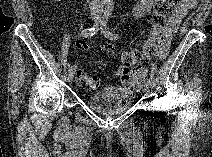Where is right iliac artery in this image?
<instances>
[{
    "instance_id": "1",
    "label": "right iliac artery",
    "mask_w": 212,
    "mask_h": 157,
    "mask_svg": "<svg viewBox=\"0 0 212 157\" xmlns=\"http://www.w3.org/2000/svg\"><path fill=\"white\" fill-rule=\"evenodd\" d=\"M98 30H99V25L96 24L94 27L83 30L80 35L84 38L91 37V36L95 35L98 32ZM73 72H74V69L72 67H70L69 73H73Z\"/></svg>"
}]
</instances>
